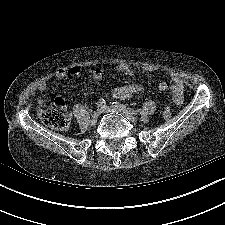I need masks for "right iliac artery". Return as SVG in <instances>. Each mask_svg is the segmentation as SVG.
<instances>
[{
	"label": "right iliac artery",
	"instance_id": "right-iliac-artery-1",
	"mask_svg": "<svg viewBox=\"0 0 225 225\" xmlns=\"http://www.w3.org/2000/svg\"><path fill=\"white\" fill-rule=\"evenodd\" d=\"M105 104H106V101L103 98L99 99L97 102L98 108H103Z\"/></svg>",
	"mask_w": 225,
	"mask_h": 225
}]
</instances>
